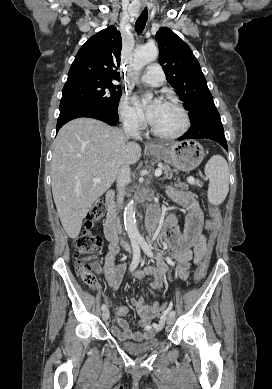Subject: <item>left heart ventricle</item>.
<instances>
[{"label":"left heart ventricle","mask_w":272,"mask_h":389,"mask_svg":"<svg viewBox=\"0 0 272 389\" xmlns=\"http://www.w3.org/2000/svg\"><path fill=\"white\" fill-rule=\"evenodd\" d=\"M182 116L180 112L167 104H162L152 125L158 131L164 133H173L177 131L182 125Z\"/></svg>","instance_id":"1"}]
</instances>
